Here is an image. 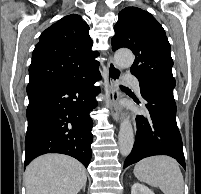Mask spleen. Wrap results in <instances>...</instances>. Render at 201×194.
<instances>
[{"label": "spleen", "mask_w": 201, "mask_h": 194, "mask_svg": "<svg viewBox=\"0 0 201 194\" xmlns=\"http://www.w3.org/2000/svg\"><path fill=\"white\" fill-rule=\"evenodd\" d=\"M135 177L152 187H159L164 194H183L184 180L176 160L167 156L149 157L134 167Z\"/></svg>", "instance_id": "obj_1"}]
</instances>
